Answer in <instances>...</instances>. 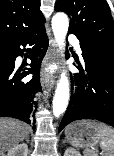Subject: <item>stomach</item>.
I'll return each mask as SVG.
<instances>
[{"instance_id": "stomach-1", "label": "stomach", "mask_w": 114, "mask_h": 156, "mask_svg": "<svg viewBox=\"0 0 114 156\" xmlns=\"http://www.w3.org/2000/svg\"><path fill=\"white\" fill-rule=\"evenodd\" d=\"M88 121H78L70 124L65 129V135L68 142L79 148L93 151L100 142V136L93 125H87ZM95 122V121H90ZM96 156V154L94 155Z\"/></svg>"}]
</instances>
